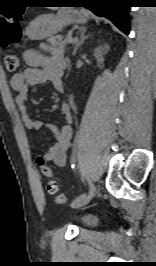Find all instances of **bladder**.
Masks as SVG:
<instances>
[{
  "label": "bladder",
  "mask_w": 156,
  "mask_h": 266,
  "mask_svg": "<svg viewBox=\"0 0 156 266\" xmlns=\"http://www.w3.org/2000/svg\"><path fill=\"white\" fill-rule=\"evenodd\" d=\"M97 222V219L92 215H82L77 217V223L81 226H94Z\"/></svg>",
  "instance_id": "bladder-1"
}]
</instances>
